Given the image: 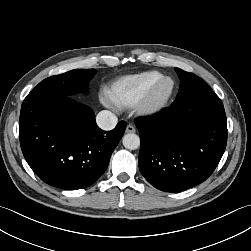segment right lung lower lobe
Instances as JSON below:
<instances>
[{"instance_id": "obj_1", "label": "right lung lower lobe", "mask_w": 251, "mask_h": 251, "mask_svg": "<svg viewBox=\"0 0 251 251\" xmlns=\"http://www.w3.org/2000/svg\"><path fill=\"white\" fill-rule=\"evenodd\" d=\"M126 129L101 130L93 110L66 95L30 92L21 106L23 155L45 183L66 190L92 185L107 169Z\"/></svg>"}]
</instances>
